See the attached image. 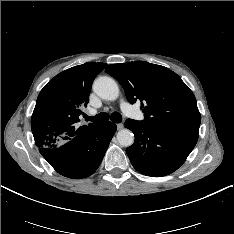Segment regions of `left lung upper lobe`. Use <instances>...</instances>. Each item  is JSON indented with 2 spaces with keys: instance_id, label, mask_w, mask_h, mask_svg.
<instances>
[{
  "instance_id": "1",
  "label": "left lung upper lobe",
  "mask_w": 234,
  "mask_h": 234,
  "mask_svg": "<svg viewBox=\"0 0 234 234\" xmlns=\"http://www.w3.org/2000/svg\"><path fill=\"white\" fill-rule=\"evenodd\" d=\"M105 71L119 81L131 104L141 101L143 123L199 128L195 96L173 71L144 61L111 64Z\"/></svg>"
}]
</instances>
